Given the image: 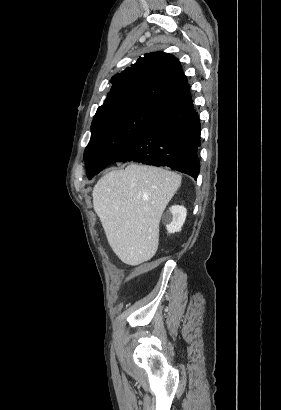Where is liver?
<instances>
[{"label":"liver","instance_id":"6515ba94","mask_svg":"<svg viewBox=\"0 0 281 410\" xmlns=\"http://www.w3.org/2000/svg\"><path fill=\"white\" fill-rule=\"evenodd\" d=\"M180 185L175 172L134 163L97 182L93 207L122 262L136 266L155 255L161 216Z\"/></svg>","mask_w":281,"mask_h":410}]
</instances>
